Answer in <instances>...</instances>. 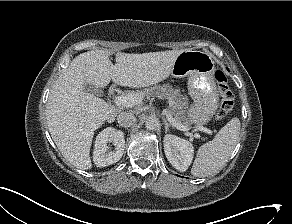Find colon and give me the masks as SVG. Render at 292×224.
Wrapping results in <instances>:
<instances>
[{
	"mask_svg": "<svg viewBox=\"0 0 292 224\" xmlns=\"http://www.w3.org/2000/svg\"><path fill=\"white\" fill-rule=\"evenodd\" d=\"M214 78L221 95L217 107L216 119L221 120L231 111L234 104V97L228 79L222 70H217L214 74Z\"/></svg>",
	"mask_w": 292,
	"mask_h": 224,
	"instance_id": "obj_1",
	"label": "colon"
}]
</instances>
